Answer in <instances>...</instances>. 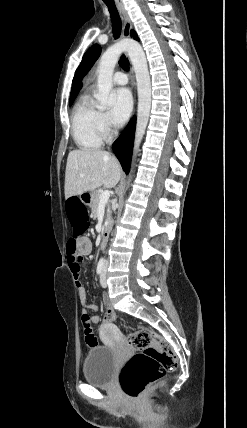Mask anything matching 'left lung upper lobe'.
Masks as SVG:
<instances>
[{"label":"left lung upper lobe","instance_id":"1","mask_svg":"<svg viewBox=\"0 0 247 428\" xmlns=\"http://www.w3.org/2000/svg\"><path fill=\"white\" fill-rule=\"evenodd\" d=\"M101 53V47L97 44L91 46L88 51L84 54L80 66L76 70L73 83L78 82V79H81L90 68L93 66L95 61L98 59Z\"/></svg>","mask_w":247,"mask_h":428}]
</instances>
